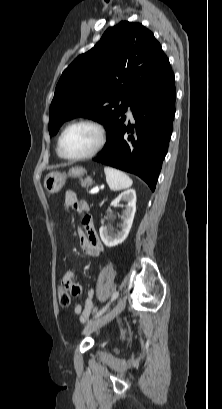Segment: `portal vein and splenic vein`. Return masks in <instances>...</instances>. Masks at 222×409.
<instances>
[{
	"label": "portal vein and splenic vein",
	"instance_id": "18ae733b",
	"mask_svg": "<svg viewBox=\"0 0 222 409\" xmlns=\"http://www.w3.org/2000/svg\"><path fill=\"white\" fill-rule=\"evenodd\" d=\"M97 192H99V187H94V188H92L91 191H90L91 194H95V193H97Z\"/></svg>",
	"mask_w": 222,
	"mask_h": 409
}]
</instances>
